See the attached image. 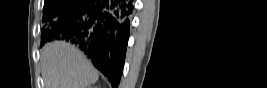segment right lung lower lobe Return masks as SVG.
I'll use <instances>...</instances> for the list:
<instances>
[{"label": "right lung lower lobe", "mask_w": 267, "mask_h": 88, "mask_svg": "<svg viewBox=\"0 0 267 88\" xmlns=\"http://www.w3.org/2000/svg\"><path fill=\"white\" fill-rule=\"evenodd\" d=\"M132 12L133 0H77L49 21L45 42L62 38L76 44L111 85L117 87L124 67Z\"/></svg>", "instance_id": "right-lung-lower-lobe-1"}]
</instances>
